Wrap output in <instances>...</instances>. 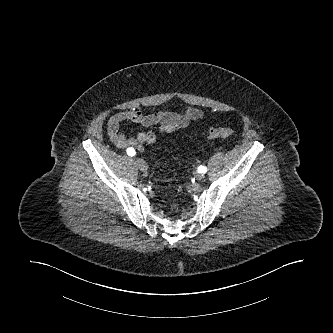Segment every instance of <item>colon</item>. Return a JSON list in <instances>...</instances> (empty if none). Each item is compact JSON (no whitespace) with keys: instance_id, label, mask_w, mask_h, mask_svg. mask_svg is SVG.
<instances>
[{"instance_id":"5ec220e1","label":"colon","mask_w":333,"mask_h":333,"mask_svg":"<svg viewBox=\"0 0 333 333\" xmlns=\"http://www.w3.org/2000/svg\"><path fill=\"white\" fill-rule=\"evenodd\" d=\"M234 135V131L230 128L226 127H217V128H211L207 132L208 138H231Z\"/></svg>"}]
</instances>
